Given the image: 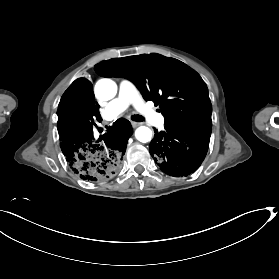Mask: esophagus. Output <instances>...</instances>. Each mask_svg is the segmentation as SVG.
Segmentation results:
<instances>
[{
    "label": "esophagus",
    "mask_w": 279,
    "mask_h": 279,
    "mask_svg": "<svg viewBox=\"0 0 279 279\" xmlns=\"http://www.w3.org/2000/svg\"><path fill=\"white\" fill-rule=\"evenodd\" d=\"M131 125H132L133 128H136V127L140 126L141 123H139V122H131Z\"/></svg>",
    "instance_id": "obj_1"
}]
</instances>
